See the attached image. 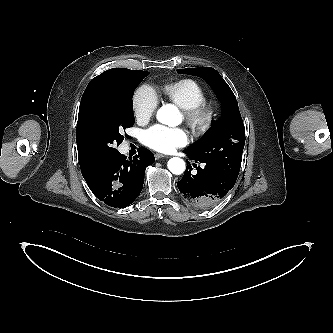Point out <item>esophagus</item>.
<instances>
[{"label": "esophagus", "mask_w": 333, "mask_h": 333, "mask_svg": "<svg viewBox=\"0 0 333 333\" xmlns=\"http://www.w3.org/2000/svg\"><path fill=\"white\" fill-rule=\"evenodd\" d=\"M166 156L165 155H163V154H159V153H156L155 154V159L156 160H159V159H161V158H165Z\"/></svg>", "instance_id": "obj_1"}]
</instances>
